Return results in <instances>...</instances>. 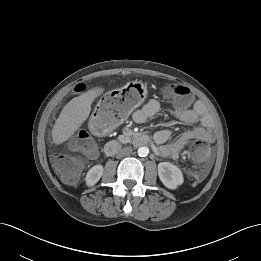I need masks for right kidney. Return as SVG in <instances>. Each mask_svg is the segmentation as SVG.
<instances>
[{
    "mask_svg": "<svg viewBox=\"0 0 261 261\" xmlns=\"http://www.w3.org/2000/svg\"><path fill=\"white\" fill-rule=\"evenodd\" d=\"M104 168L102 165L93 166L86 174L87 186H94L101 178Z\"/></svg>",
    "mask_w": 261,
    "mask_h": 261,
    "instance_id": "1",
    "label": "right kidney"
}]
</instances>
